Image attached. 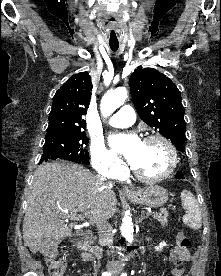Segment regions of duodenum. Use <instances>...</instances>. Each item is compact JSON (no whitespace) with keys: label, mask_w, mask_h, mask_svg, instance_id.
I'll use <instances>...</instances> for the list:
<instances>
[{"label":"duodenum","mask_w":221,"mask_h":276,"mask_svg":"<svg viewBox=\"0 0 221 276\" xmlns=\"http://www.w3.org/2000/svg\"><path fill=\"white\" fill-rule=\"evenodd\" d=\"M78 246L87 254L91 259L93 256L101 257L102 250L91 244V234L89 232L85 233L82 239L79 241Z\"/></svg>","instance_id":"410a0bca"}]
</instances>
